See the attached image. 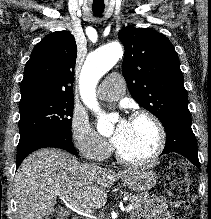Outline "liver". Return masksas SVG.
I'll list each match as a JSON object with an SVG mask.
<instances>
[{"instance_id": "1", "label": "liver", "mask_w": 211, "mask_h": 219, "mask_svg": "<svg viewBox=\"0 0 211 219\" xmlns=\"http://www.w3.org/2000/svg\"><path fill=\"white\" fill-rule=\"evenodd\" d=\"M135 170L116 173L81 164L62 150H38L22 162L15 175L16 219H42L53 213L57 196L73 200L84 211L100 209L107 202L106 188Z\"/></svg>"}]
</instances>
